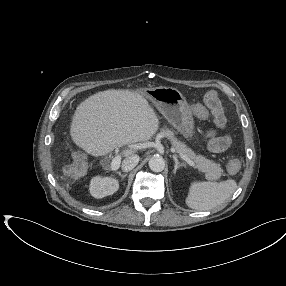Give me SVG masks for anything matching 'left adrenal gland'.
Wrapping results in <instances>:
<instances>
[{
	"label": "left adrenal gland",
	"mask_w": 286,
	"mask_h": 286,
	"mask_svg": "<svg viewBox=\"0 0 286 286\" xmlns=\"http://www.w3.org/2000/svg\"><path fill=\"white\" fill-rule=\"evenodd\" d=\"M173 159H174V161H175V166H174V170H173V172H174V174H175L176 171H177V169H179V168L182 167V166H185V164H184V163H179V161H178L176 155H173Z\"/></svg>",
	"instance_id": "a2214340"
}]
</instances>
